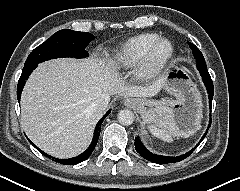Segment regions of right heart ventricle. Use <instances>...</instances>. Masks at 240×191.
Wrapping results in <instances>:
<instances>
[{
  "instance_id": "right-heart-ventricle-1",
  "label": "right heart ventricle",
  "mask_w": 240,
  "mask_h": 191,
  "mask_svg": "<svg viewBox=\"0 0 240 191\" xmlns=\"http://www.w3.org/2000/svg\"><path fill=\"white\" fill-rule=\"evenodd\" d=\"M158 38L156 33H144L126 40L115 50L111 59L112 65L119 69L135 66Z\"/></svg>"
}]
</instances>
